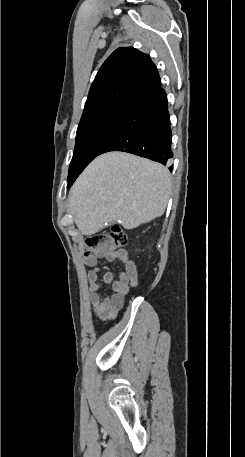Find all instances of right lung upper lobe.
<instances>
[{"label": "right lung upper lobe", "mask_w": 245, "mask_h": 457, "mask_svg": "<svg viewBox=\"0 0 245 457\" xmlns=\"http://www.w3.org/2000/svg\"><path fill=\"white\" fill-rule=\"evenodd\" d=\"M159 87V74L147 54L132 47L118 48L98 71L83 114L110 108L130 109Z\"/></svg>", "instance_id": "cb5924a9"}]
</instances>
